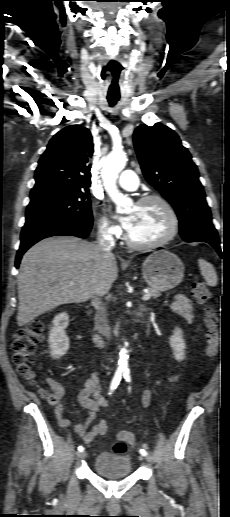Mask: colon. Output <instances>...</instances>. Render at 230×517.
Returning a JSON list of instances; mask_svg holds the SVG:
<instances>
[{
    "label": "colon",
    "mask_w": 230,
    "mask_h": 517,
    "mask_svg": "<svg viewBox=\"0 0 230 517\" xmlns=\"http://www.w3.org/2000/svg\"><path fill=\"white\" fill-rule=\"evenodd\" d=\"M192 294L196 301L203 306V322L205 326L206 355L209 359L216 357L219 347V316L216 309L210 304V292L207 286L200 280H194L191 285ZM44 325L40 320L32 321L28 326L20 328L15 334L13 342V363L18 372L29 382L35 380L34 353L38 343L43 339ZM43 397L50 404H56L62 395L60 385L51 380L42 390ZM135 435L125 433L118 438L113 446L115 453L123 454L128 444L135 443Z\"/></svg>",
    "instance_id": "5ec220e1"
}]
</instances>
